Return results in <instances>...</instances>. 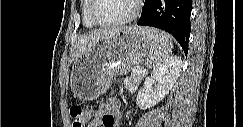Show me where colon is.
<instances>
[{"mask_svg": "<svg viewBox=\"0 0 243 127\" xmlns=\"http://www.w3.org/2000/svg\"><path fill=\"white\" fill-rule=\"evenodd\" d=\"M70 118L73 127H84L86 122V116L84 109L78 105L74 104L69 109Z\"/></svg>", "mask_w": 243, "mask_h": 127, "instance_id": "1", "label": "colon"}]
</instances>
